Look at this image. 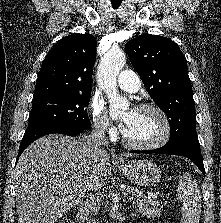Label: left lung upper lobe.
<instances>
[{"instance_id":"left-lung-upper-lobe-1","label":"left lung upper lobe","mask_w":221,"mask_h":223,"mask_svg":"<svg viewBox=\"0 0 221 223\" xmlns=\"http://www.w3.org/2000/svg\"><path fill=\"white\" fill-rule=\"evenodd\" d=\"M125 49L150 97L169 118L167 144L198 139L187 61L178 45L166 37L144 34L127 42Z\"/></svg>"}]
</instances>
